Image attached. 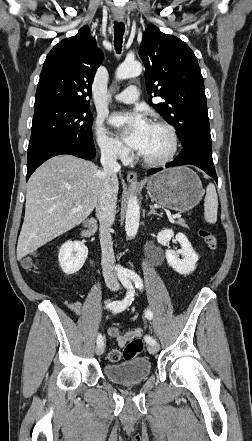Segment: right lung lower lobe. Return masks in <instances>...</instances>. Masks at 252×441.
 Returning <instances> with one entry per match:
<instances>
[{
	"label": "right lung lower lobe",
	"instance_id": "98d812e1",
	"mask_svg": "<svg viewBox=\"0 0 252 441\" xmlns=\"http://www.w3.org/2000/svg\"><path fill=\"white\" fill-rule=\"evenodd\" d=\"M61 154L93 159L96 155L93 139L62 136L41 139L29 144L26 180L43 162Z\"/></svg>",
	"mask_w": 252,
	"mask_h": 441
}]
</instances>
